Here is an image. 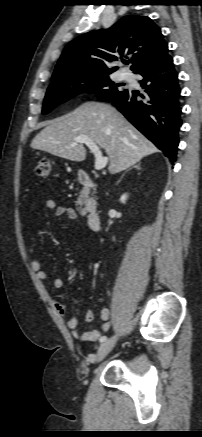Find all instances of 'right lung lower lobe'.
I'll return each mask as SVG.
<instances>
[{
    "label": "right lung lower lobe",
    "instance_id": "1",
    "mask_svg": "<svg viewBox=\"0 0 202 437\" xmlns=\"http://www.w3.org/2000/svg\"><path fill=\"white\" fill-rule=\"evenodd\" d=\"M140 81L144 94L125 89L106 102L115 106L142 134L175 162L182 125L181 88L173 59L141 69Z\"/></svg>",
    "mask_w": 202,
    "mask_h": 437
}]
</instances>
